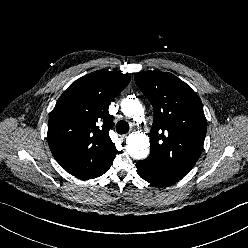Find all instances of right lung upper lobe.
Wrapping results in <instances>:
<instances>
[{
	"label": "right lung upper lobe",
	"mask_w": 248,
	"mask_h": 248,
	"mask_svg": "<svg viewBox=\"0 0 248 248\" xmlns=\"http://www.w3.org/2000/svg\"><path fill=\"white\" fill-rule=\"evenodd\" d=\"M129 81L123 73L95 71L73 82L58 99L47 139L54 158L68 173L92 179L115 157L108 109Z\"/></svg>",
	"instance_id": "right-lung-upper-lobe-1"
}]
</instances>
